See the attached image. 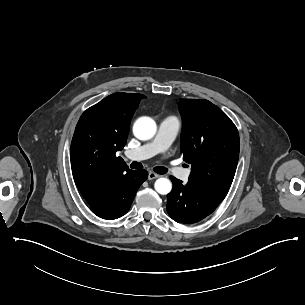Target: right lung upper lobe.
I'll return each mask as SVG.
<instances>
[{
  "label": "right lung upper lobe",
  "mask_w": 305,
  "mask_h": 305,
  "mask_svg": "<svg viewBox=\"0 0 305 305\" xmlns=\"http://www.w3.org/2000/svg\"><path fill=\"white\" fill-rule=\"evenodd\" d=\"M142 94L114 93L80 117L71 142L73 178L85 199L130 171L116 156L127 141L130 121Z\"/></svg>",
  "instance_id": "right-lung-upper-lobe-1"
}]
</instances>
